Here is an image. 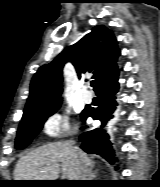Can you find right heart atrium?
<instances>
[{"label": "right heart atrium", "mask_w": 160, "mask_h": 187, "mask_svg": "<svg viewBox=\"0 0 160 187\" xmlns=\"http://www.w3.org/2000/svg\"><path fill=\"white\" fill-rule=\"evenodd\" d=\"M42 131L49 139L63 138L70 135L71 128L68 116L59 112L49 114L43 122Z\"/></svg>", "instance_id": "1"}]
</instances>
